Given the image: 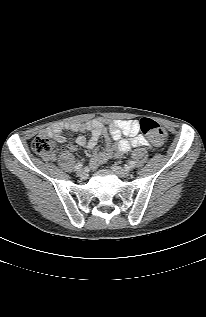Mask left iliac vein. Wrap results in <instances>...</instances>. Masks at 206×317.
<instances>
[{
    "label": "left iliac vein",
    "instance_id": "1",
    "mask_svg": "<svg viewBox=\"0 0 206 317\" xmlns=\"http://www.w3.org/2000/svg\"><path fill=\"white\" fill-rule=\"evenodd\" d=\"M112 169L119 177L125 178V177H128L130 175L129 169L122 168V167L117 166V165H114L112 167Z\"/></svg>",
    "mask_w": 206,
    "mask_h": 317
}]
</instances>
